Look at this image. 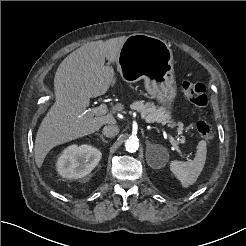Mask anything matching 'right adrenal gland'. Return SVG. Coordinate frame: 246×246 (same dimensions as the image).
I'll return each instance as SVG.
<instances>
[{
  "instance_id": "obj_1",
  "label": "right adrenal gland",
  "mask_w": 246,
  "mask_h": 246,
  "mask_svg": "<svg viewBox=\"0 0 246 246\" xmlns=\"http://www.w3.org/2000/svg\"><path fill=\"white\" fill-rule=\"evenodd\" d=\"M96 135L104 142V143H108V141L103 137V135L96 133Z\"/></svg>"
}]
</instances>
